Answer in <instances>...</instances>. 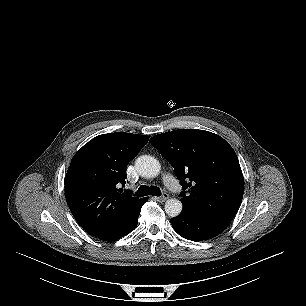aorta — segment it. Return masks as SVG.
Returning <instances> with one entry per match:
<instances>
[{
    "label": "aorta",
    "instance_id": "obj_1",
    "mask_svg": "<svg viewBox=\"0 0 306 306\" xmlns=\"http://www.w3.org/2000/svg\"><path fill=\"white\" fill-rule=\"evenodd\" d=\"M135 167L138 173L145 178H154L161 170L159 161L150 155L138 157L135 161ZM164 209L168 216L176 217L182 211V203L180 200L172 198L166 201Z\"/></svg>",
    "mask_w": 306,
    "mask_h": 306
}]
</instances>
